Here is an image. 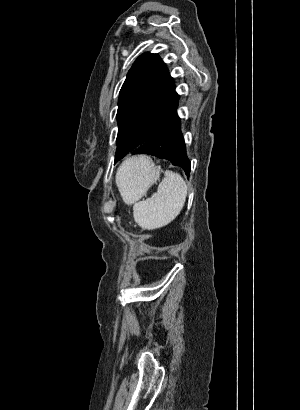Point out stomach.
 Segmentation results:
<instances>
[{"mask_svg":"<svg viewBox=\"0 0 300 410\" xmlns=\"http://www.w3.org/2000/svg\"><path fill=\"white\" fill-rule=\"evenodd\" d=\"M138 159V168L130 177V185L125 200L127 203H132L139 200L145 192L157 181L160 177V167L147 157Z\"/></svg>","mask_w":300,"mask_h":410,"instance_id":"1","label":"stomach"}]
</instances>
